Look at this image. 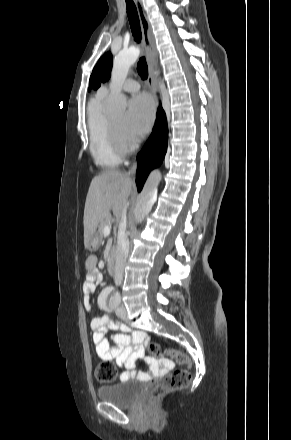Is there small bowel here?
I'll return each instance as SVG.
<instances>
[{
    "label": "small bowel",
    "instance_id": "c3829d8e",
    "mask_svg": "<svg viewBox=\"0 0 291 440\" xmlns=\"http://www.w3.org/2000/svg\"><path fill=\"white\" fill-rule=\"evenodd\" d=\"M88 280L83 285V306L93 312L92 294L95 291V283L101 280L100 273L96 270V258L91 256L87 259ZM101 307H107V294L99 298ZM111 319L104 316H95L91 322L93 330V342L98 357L103 361H111L121 371L123 379H134L146 382L154 378L166 375L174 368L171 360H157L145 356L147 340L141 332H134L132 336L123 334H109ZM109 339L113 344L109 343ZM144 359L149 365V372L133 370L136 362Z\"/></svg>",
    "mask_w": 291,
    "mask_h": 440
}]
</instances>
